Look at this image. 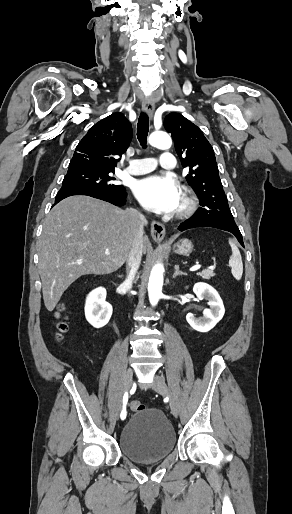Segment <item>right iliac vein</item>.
<instances>
[{
  "label": "right iliac vein",
  "instance_id": "63e3f726",
  "mask_svg": "<svg viewBox=\"0 0 292 514\" xmlns=\"http://www.w3.org/2000/svg\"><path fill=\"white\" fill-rule=\"evenodd\" d=\"M132 377H133V371L131 368H128L125 373V379H124V392H128L132 386ZM119 410H117L116 415L118 416Z\"/></svg>",
  "mask_w": 292,
  "mask_h": 514
}]
</instances>
